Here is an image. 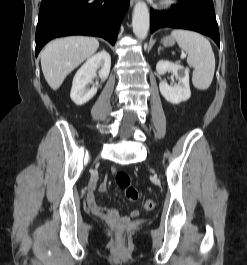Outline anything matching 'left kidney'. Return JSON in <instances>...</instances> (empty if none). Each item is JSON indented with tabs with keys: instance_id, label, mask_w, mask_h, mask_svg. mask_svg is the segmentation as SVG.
Segmentation results:
<instances>
[{
	"instance_id": "left-kidney-1",
	"label": "left kidney",
	"mask_w": 247,
	"mask_h": 265,
	"mask_svg": "<svg viewBox=\"0 0 247 265\" xmlns=\"http://www.w3.org/2000/svg\"><path fill=\"white\" fill-rule=\"evenodd\" d=\"M158 75H164L167 71H172L178 84L174 87L169 86L166 82L159 83V89L162 96L172 104H179L186 101L191 96L189 85V71L182 65L174 64L169 61H159L156 65Z\"/></svg>"
}]
</instances>
